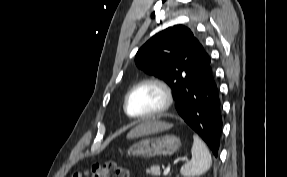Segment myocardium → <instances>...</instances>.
I'll return each instance as SVG.
<instances>
[{"label": "myocardium", "instance_id": "myocardium-1", "mask_svg": "<svg viewBox=\"0 0 287 177\" xmlns=\"http://www.w3.org/2000/svg\"><path fill=\"white\" fill-rule=\"evenodd\" d=\"M143 86H153V87L157 88L162 94L163 101H162L161 105L155 111H153L151 113H148L145 115H140V116L131 115L129 113V110H128L129 98H130L131 94L136 89L143 87ZM173 101H174L173 92H172L170 86L165 81H163L159 78H147V79H144V80L136 83L135 85H133L129 89V91L127 92L125 99H124V110H125V113L132 119L145 120V119H150V118L160 116L161 114L168 111L171 108V106L173 105Z\"/></svg>", "mask_w": 287, "mask_h": 177}]
</instances>
